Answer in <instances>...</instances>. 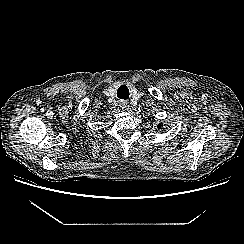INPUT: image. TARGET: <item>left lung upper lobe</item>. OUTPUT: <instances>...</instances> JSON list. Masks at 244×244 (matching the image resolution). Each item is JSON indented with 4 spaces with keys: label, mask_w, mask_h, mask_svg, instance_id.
<instances>
[{
    "label": "left lung upper lobe",
    "mask_w": 244,
    "mask_h": 244,
    "mask_svg": "<svg viewBox=\"0 0 244 244\" xmlns=\"http://www.w3.org/2000/svg\"><path fill=\"white\" fill-rule=\"evenodd\" d=\"M158 128L160 129V128H161V126L159 125V126H158Z\"/></svg>",
    "instance_id": "1"
}]
</instances>
